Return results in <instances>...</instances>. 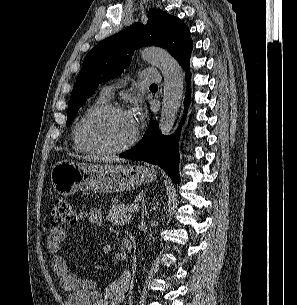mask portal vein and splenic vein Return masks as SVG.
I'll list each match as a JSON object with an SVG mask.
<instances>
[{
	"instance_id": "obj_1",
	"label": "portal vein and splenic vein",
	"mask_w": 297,
	"mask_h": 305,
	"mask_svg": "<svg viewBox=\"0 0 297 305\" xmlns=\"http://www.w3.org/2000/svg\"><path fill=\"white\" fill-rule=\"evenodd\" d=\"M138 208H139V205H138V204H133V205L130 206V210H131L132 212L137 211Z\"/></svg>"
}]
</instances>
